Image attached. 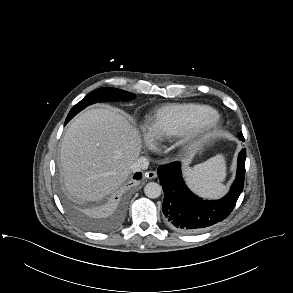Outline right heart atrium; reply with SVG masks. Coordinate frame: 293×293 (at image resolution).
Listing matches in <instances>:
<instances>
[{
	"label": "right heart atrium",
	"instance_id": "1",
	"mask_svg": "<svg viewBox=\"0 0 293 293\" xmlns=\"http://www.w3.org/2000/svg\"><path fill=\"white\" fill-rule=\"evenodd\" d=\"M137 133L142 138L144 144L147 147L152 148L154 146V140L152 139V137L147 132V129H145L144 127L140 126L137 129Z\"/></svg>",
	"mask_w": 293,
	"mask_h": 293
}]
</instances>
